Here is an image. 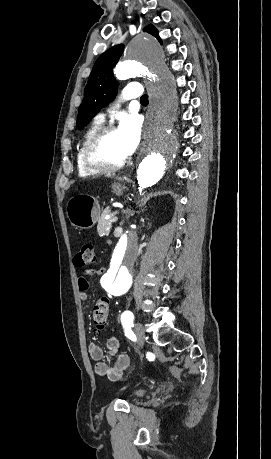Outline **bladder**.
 <instances>
[{
    "instance_id": "31cf9c89",
    "label": "bladder",
    "mask_w": 271,
    "mask_h": 459,
    "mask_svg": "<svg viewBox=\"0 0 271 459\" xmlns=\"http://www.w3.org/2000/svg\"><path fill=\"white\" fill-rule=\"evenodd\" d=\"M147 389L146 388H140V389H135L133 390V396L134 397H140L146 394Z\"/></svg>"
}]
</instances>
